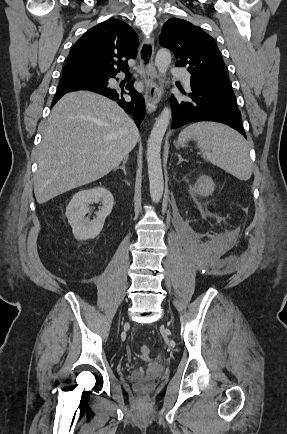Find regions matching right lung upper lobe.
Returning <instances> with one entry per match:
<instances>
[{
	"instance_id": "right-lung-upper-lobe-1",
	"label": "right lung upper lobe",
	"mask_w": 287,
	"mask_h": 434,
	"mask_svg": "<svg viewBox=\"0 0 287 434\" xmlns=\"http://www.w3.org/2000/svg\"><path fill=\"white\" fill-rule=\"evenodd\" d=\"M137 47V35L128 24L108 19L89 29L75 43L63 75L89 73L110 78L119 71L129 74L127 60L136 57ZM60 82L86 83L63 78Z\"/></svg>"
}]
</instances>
